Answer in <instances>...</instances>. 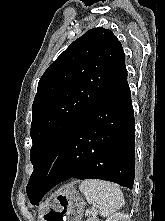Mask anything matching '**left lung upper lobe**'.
Masks as SVG:
<instances>
[{
    "instance_id": "obj_1",
    "label": "left lung upper lobe",
    "mask_w": 165,
    "mask_h": 221,
    "mask_svg": "<svg viewBox=\"0 0 165 221\" xmlns=\"http://www.w3.org/2000/svg\"><path fill=\"white\" fill-rule=\"evenodd\" d=\"M124 66L120 41L111 30L97 27L70 44L44 72L32 105L34 171L26 187L31 202L69 134Z\"/></svg>"
}]
</instances>
